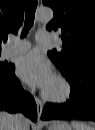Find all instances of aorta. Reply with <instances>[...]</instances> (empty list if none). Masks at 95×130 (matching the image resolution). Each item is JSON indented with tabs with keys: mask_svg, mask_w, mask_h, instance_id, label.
<instances>
[{
	"mask_svg": "<svg viewBox=\"0 0 95 130\" xmlns=\"http://www.w3.org/2000/svg\"><path fill=\"white\" fill-rule=\"evenodd\" d=\"M35 18L39 22H49L53 18V10L49 7H40L36 10Z\"/></svg>",
	"mask_w": 95,
	"mask_h": 130,
	"instance_id": "aorta-1",
	"label": "aorta"
}]
</instances>
